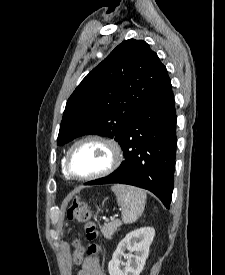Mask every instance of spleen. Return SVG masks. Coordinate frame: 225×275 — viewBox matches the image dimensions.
Listing matches in <instances>:
<instances>
[{
  "mask_svg": "<svg viewBox=\"0 0 225 275\" xmlns=\"http://www.w3.org/2000/svg\"><path fill=\"white\" fill-rule=\"evenodd\" d=\"M118 205L122 208V221L134 223L143 213L146 203V192L134 186L116 184L112 186Z\"/></svg>",
  "mask_w": 225,
  "mask_h": 275,
  "instance_id": "spleen-1",
  "label": "spleen"
}]
</instances>
